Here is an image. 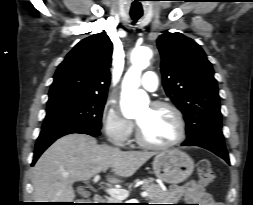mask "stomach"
Segmentation results:
<instances>
[{
  "mask_svg": "<svg viewBox=\"0 0 253 205\" xmlns=\"http://www.w3.org/2000/svg\"><path fill=\"white\" fill-rule=\"evenodd\" d=\"M152 165L156 177L170 184L183 182L192 174L194 169L192 158L178 149L158 153Z\"/></svg>",
  "mask_w": 253,
  "mask_h": 205,
  "instance_id": "0dacf381",
  "label": "stomach"
}]
</instances>
